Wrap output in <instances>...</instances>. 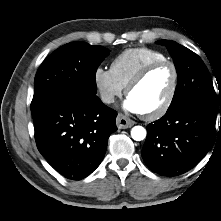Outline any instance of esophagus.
I'll return each instance as SVG.
<instances>
[{
  "mask_svg": "<svg viewBox=\"0 0 221 221\" xmlns=\"http://www.w3.org/2000/svg\"><path fill=\"white\" fill-rule=\"evenodd\" d=\"M116 124L119 129H126L132 127L135 124V122L127 118L123 114H118L116 118Z\"/></svg>",
  "mask_w": 221,
  "mask_h": 221,
  "instance_id": "esophagus-1",
  "label": "esophagus"
}]
</instances>
